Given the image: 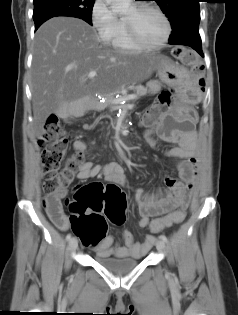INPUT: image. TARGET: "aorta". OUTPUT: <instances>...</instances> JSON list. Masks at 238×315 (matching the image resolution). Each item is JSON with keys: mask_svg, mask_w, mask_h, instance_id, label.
Instances as JSON below:
<instances>
[{"mask_svg": "<svg viewBox=\"0 0 238 315\" xmlns=\"http://www.w3.org/2000/svg\"><path fill=\"white\" fill-rule=\"evenodd\" d=\"M115 13H127L131 10V0H106Z\"/></svg>", "mask_w": 238, "mask_h": 315, "instance_id": "762f6f07", "label": "aorta"}]
</instances>
